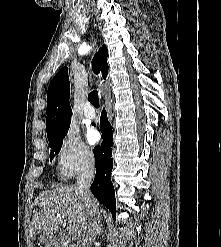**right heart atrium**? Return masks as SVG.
Instances as JSON below:
<instances>
[{
  "label": "right heart atrium",
  "mask_w": 221,
  "mask_h": 247,
  "mask_svg": "<svg viewBox=\"0 0 221 247\" xmlns=\"http://www.w3.org/2000/svg\"><path fill=\"white\" fill-rule=\"evenodd\" d=\"M92 159L90 148L82 141L77 131L70 129L57 152L58 174L65 178L79 174L91 165Z\"/></svg>",
  "instance_id": "1"
}]
</instances>
